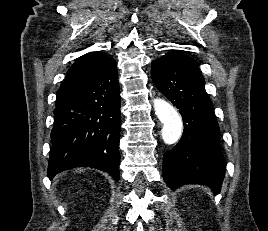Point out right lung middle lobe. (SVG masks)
Here are the masks:
<instances>
[{
	"mask_svg": "<svg viewBox=\"0 0 268 231\" xmlns=\"http://www.w3.org/2000/svg\"><path fill=\"white\" fill-rule=\"evenodd\" d=\"M66 94H59V93H57L56 103L60 102L66 96Z\"/></svg>",
	"mask_w": 268,
	"mask_h": 231,
	"instance_id": "dd1d6c3e",
	"label": "right lung middle lobe"
}]
</instances>
